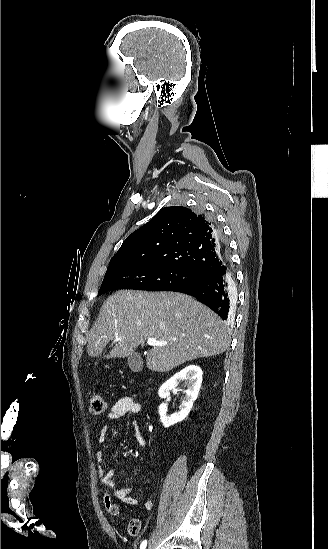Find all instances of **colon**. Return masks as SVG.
<instances>
[{
  "mask_svg": "<svg viewBox=\"0 0 328 549\" xmlns=\"http://www.w3.org/2000/svg\"><path fill=\"white\" fill-rule=\"evenodd\" d=\"M89 409L93 414H102L107 409L106 401L100 394L94 393L89 399ZM103 503L106 511L112 516H118L120 514L118 505L112 500L108 493L104 494ZM141 527L142 525L139 519L133 518L127 522V532L131 536L139 535Z\"/></svg>",
  "mask_w": 328,
  "mask_h": 549,
  "instance_id": "1",
  "label": "colon"
}]
</instances>
